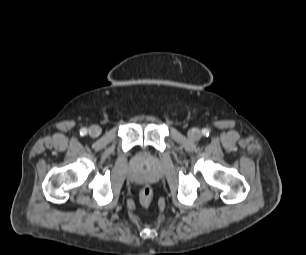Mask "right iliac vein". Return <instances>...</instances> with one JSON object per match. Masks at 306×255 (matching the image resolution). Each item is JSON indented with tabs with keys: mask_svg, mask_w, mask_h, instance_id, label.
I'll use <instances>...</instances> for the list:
<instances>
[{
	"mask_svg": "<svg viewBox=\"0 0 306 255\" xmlns=\"http://www.w3.org/2000/svg\"><path fill=\"white\" fill-rule=\"evenodd\" d=\"M88 132L91 137L95 138L101 134V128L98 125H92Z\"/></svg>",
	"mask_w": 306,
	"mask_h": 255,
	"instance_id": "63e3f726",
	"label": "right iliac vein"
}]
</instances>
